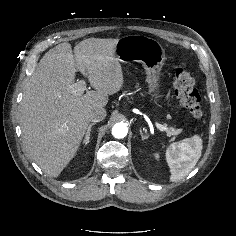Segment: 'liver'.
Returning a JSON list of instances; mask_svg holds the SVG:
<instances>
[{"label": "liver", "mask_w": 236, "mask_h": 236, "mask_svg": "<svg viewBox=\"0 0 236 236\" xmlns=\"http://www.w3.org/2000/svg\"><path fill=\"white\" fill-rule=\"evenodd\" d=\"M118 39L88 38L49 50L31 75L20 108V126L32 160L51 177H58L75 156L88 128L87 113L104 107L108 95L124 83L115 48ZM76 71L95 90L83 96L71 93Z\"/></svg>", "instance_id": "liver-1"}]
</instances>
